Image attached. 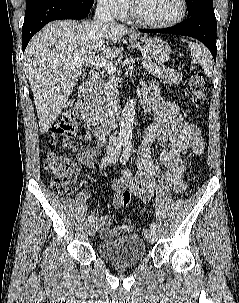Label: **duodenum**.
I'll list each match as a JSON object with an SVG mask.
<instances>
[{
	"instance_id": "410a0bca",
	"label": "duodenum",
	"mask_w": 239,
	"mask_h": 303,
	"mask_svg": "<svg viewBox=\"0 0 239 303\" xmlns=\"http://www.w3.org/2000/svg\"><path fill=\"white\" fill-rule=\"evenodd\" d=\"M99 80L97 72H90L83 81L78 93V106L84 125L97 136L109 134L115 127L116 115L113 113H97L93 107L94 91ZM149 110L142 113L147 116Z\"/></svg>"
}]
</instances>
